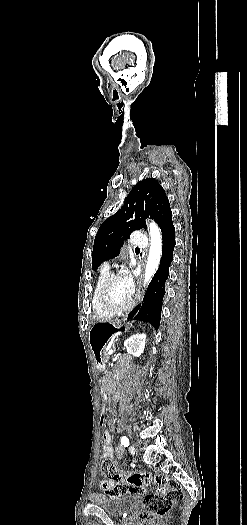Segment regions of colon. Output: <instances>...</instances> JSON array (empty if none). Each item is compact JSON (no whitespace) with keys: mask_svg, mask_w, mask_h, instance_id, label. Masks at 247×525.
<instances>
[{"mask_svg":"<svg viewBox=\"0 0 247 525\" xmlns=\"http://www.w3.org/2000/svg\"><path fill=\"white\" fill-rule=\"evenodd\" d=\"M104 418V415H101ZM99 428H106L105 420ZM102 475L107 481H118V496L139 494L143 496L144 508L141 519L144 522L163 520L173 502L182 500L185 492L180 483L164 475L151 476L148 472H130L122 476L109 460H103L100 466Z\"/></svg>","mask_w":247,"mask_h":525,"instance_id":"colon-1","label":"colon"}]
</instances>
